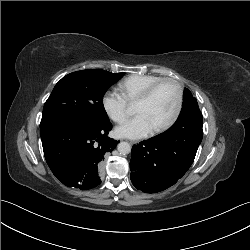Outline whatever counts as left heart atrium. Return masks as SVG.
I'll list each match as a JSON object with an SVG mask.
<instances>
[{"label": "left heart atrium", "mask_w": 250, "mask_h": 250, "mask_svg": "<svg viewBox=\"0 0 250 250\" xmlns=\"http://www.w3.org/2000/svg\"><path fill=\"white\" fill-rule=\"evenodd\" d=\"M153 129L147 119L138 114L135 117L125 121L115 128V134L118 137L139 139L149 136Z\"/></svg>", "instance_id": "1"}]
</instances>
